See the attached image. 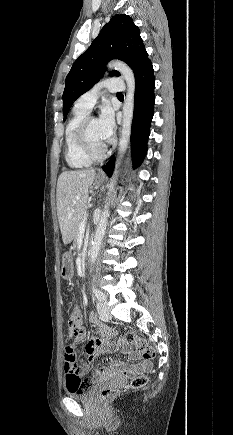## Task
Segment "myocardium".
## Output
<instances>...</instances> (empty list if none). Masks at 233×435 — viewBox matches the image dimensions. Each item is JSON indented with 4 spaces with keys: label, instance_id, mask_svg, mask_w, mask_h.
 I'll return each mask as SVG.
<instances>
[{
    "label": "myocardium",
    "instance_id": "myocardium-1",
    "mask_svg": "<svg viewBox=\"0 0 233 435\" xmlns=\"http://www.w3.org/2000/svg\"><path fill=\"white\" fill-rule=\"evenodd\" d=\"M95 118L86 116L80 124L78 130V141L83 154L91 161H101L105 159L109 153L108 145L102 151H95L89 141L88 129L91 120Z\"/></svg>",
    "mask_w": 233,
    "mask_h": 435
}]
</instances>
